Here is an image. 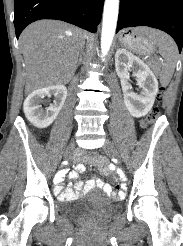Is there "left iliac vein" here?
Listing matches in <instances>:
<instances>
[{
	"instance_id": "left-iliac-vein-1",
	"label": "left iliac vein",
	"mask_w": 183,
	"mask_h": 246,
	"mask_svg": "<svg viewBox=\"0 0 183 246\" xmlns=\"http://www.w3.org/2000/svg\"><path fill=\"white\" fill-rule=\"evenodd\" d=\"M104 150L107 154H109L110 156L116 158L117 160H119L120 162V155L118 150L115 148V146L113 145V143L109 140H106L105 142V146H104Z\"/></svg>"
}]
</instances>
